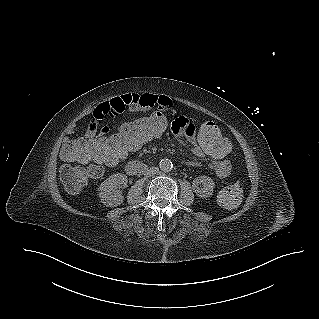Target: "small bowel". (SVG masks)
Returning <instances> with one entry per match:
<instances>
[{
    "label": "small bowel",
    "mask_w": 319,
    "mask_h": 319,
    "mask_svg": "<svg viewBox=\"0 0 319 319\" xmlns=\"http://www.w3.org/2000/svg\"><path fill=\"white\" fill-rule=\"evenodd\" d=\"M173 106L174 103L171 98L155 94H129L117 98L102 99L101 103L97 105L96 109L87 119L85 132L86 135L92 139L106 137L107 135L105 134L112 128V121L120 118L128 108L145 110L157 107L163 110H170ZM126 125L127 124L123 126ZM169 129L171 131L173 130L172 133L175 136H181L183 141H189L185 146L197 158L186 160L185 164L191 167L204 166L205 163L201 159L209 154L206 149L200 148L195 143L194 137H192V135L195 134V122L191 121L190 115H174L173 121L169 122ZM207 166L219 179L226 178L231 171V166L225 157L222 159H215L212 157V160Z\"/></svg>",
    "instance_id": "c3829d8e"
}]
</instances>
